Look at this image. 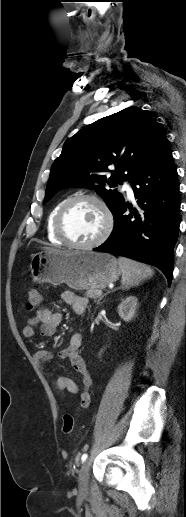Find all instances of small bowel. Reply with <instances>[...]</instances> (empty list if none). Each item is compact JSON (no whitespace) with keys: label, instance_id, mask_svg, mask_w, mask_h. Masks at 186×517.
Instances as JSON below:
<instances>
[{"label":"small bowel","instance_id":"1","mask_svg":"<svg viewBox=\"0 0 186 517\" xmlns=\"http://www.w3.org/2000/svg\"><path fill=\"white\" fill-rule=\"evenodd\" d=\"M61 299L71 305L76 313L84 312L88 305L87 298L76 295L70 291L63 292ZM61 322V313L44 307L28 318L22 329V333L26 338H33L36 335L37 329H39L43 336H54ZM82 342V335L75 333L71 336L68 345L64 349L57 353L40 349L34 353V359L40 366H45V364L54 358H68L72 367L80 375L81 391L79 408H87L91 403L92 378L84 359L79 354ZM51 384L55 391L61 396L64 395L65 392L69 394H77L79 392L78 383L72 378L57 377L51 380Z\"/></svg>","mask_w":186,"mask_h":517}]
</instances>
